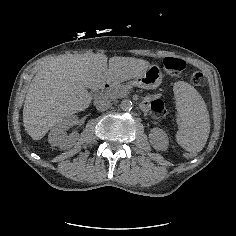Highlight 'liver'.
Masks as SVG:
<instances>
[{
    "label": "liver",
    "instance_id": "obj_1",
    "mask_svg": "<svg viewBox=\"0 0 236 236\" xmlns=\"http://www.w3.org/2000/svg\"><path fill=\"white\" fill-rule=\"evenodd\" d=\"M147 66L144 59H108L91 51L44 57L26 92L22 110L25 132L32 140H41L49 130L61 127L70 116L91 105L87 89L97 91L105 84L114 87L143 74Z\"/></svg>",
    "mask_w": 236,
    "mask_h": 236
}]
</instances>
